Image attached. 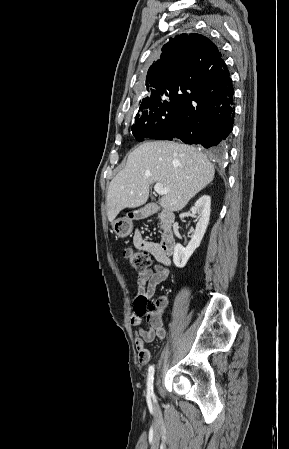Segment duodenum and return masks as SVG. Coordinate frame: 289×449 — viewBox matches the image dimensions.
Segmentation results:
<instances>
[{
	"instance_id": "1",
	"label": "duodenum",
	"mask_w": 289,
	"mask_h": 449,
	"mask_svg": "<svg viewBox=\"0 0 289 449\" xmlns=\"http://www.w3.org/2000/svg\"><path fill=\"white\" fill-rule=\"evenodd\" d=\"M146 215L158 214L162 222V235L159 243L161 251L169 256L173 253L175 248V237L173 233V222L175 215L168 209L160 208L156 205L149 206L145 209Z\"/></svg>"
}]
</instances>
